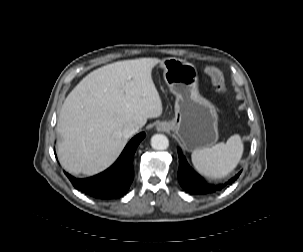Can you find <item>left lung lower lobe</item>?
Returning <instances> with one entry per match:
<instances>
[{"instance_id":"1","label":"left lung lower lobe","mask_w":303,"mask_h":252,"mask_svg":"<svg viewBox=\"0 0 303 252\" xmlns=\"http://www.w3.org/2000/svg\"><path fill=\"white\" fill-rule=\"evenodd\" d=\"M239 172L233 178L222 184H208L188 165L181 150H179L178 180L184 190L192 194H206L222 190L228 184L233 183L240 175Z\"/></svg>"}]
</instances>
